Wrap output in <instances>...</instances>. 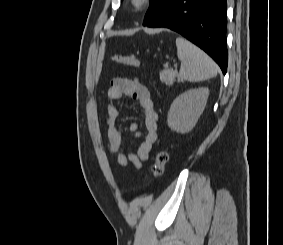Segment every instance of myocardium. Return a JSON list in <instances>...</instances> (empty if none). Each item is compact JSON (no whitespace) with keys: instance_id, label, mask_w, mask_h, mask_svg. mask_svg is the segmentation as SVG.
Returning <instances> with one entry per match:
<instances>
[{"instance_id":"myocardium-1","label":"myocardium","mask_w":283,"mask_h":245,"mask_svg":"<svg viewBox=\"0 0 283 245\" xmlns=\"http://www.w3.org/2000/svg\"><path fill=\"white\" fill-rule=\"evenodd\" d=\"M131 9L134 12H140L147 8L151 3V0H128Z\"/></svg>"}]
</instances>
